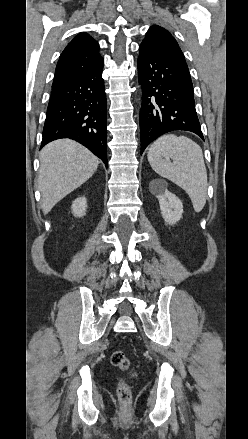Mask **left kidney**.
<instances>
[{"instance_id": "5707ae66", "label": "left kidney", "mask_w": 248, "mask_h": 439, "mask_svg": "<svg viewBox=\"0 0 248 439\" xmlns=\"http://www.w3.org/2000/svg\"><path fill=\"white\" fill-rule=\"evenodd\" d=\"M150 190L159 201L164 221L169 225L176 224L182 218L183 204L181 200L169 192L165 186H159L156 180L150 183Z\"/></svg>"}]
</instances>
